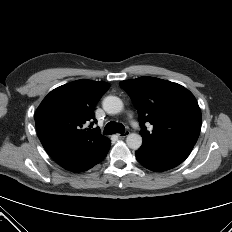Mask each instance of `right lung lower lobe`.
<instances>
[{
  "label": "right lung lower lobe",
  "mask_w": 232,
  "mask_h": 232,
  "mask_svg": "<svg viewBox=\"0 0 232 232\" xmlns=\"http://www.w3.org/2000/svg\"><path fill=\"white\" fill-rule=\"evenodd\" d=\"M108 150H106L105 152H103L99 155L93 156V157L69 161L67 163L62 164L61 166L64 169L69 170V171H73V172L86 171V170L92 168L94 165L101 162L104 159V157L106 156Z\"/></svg>",
  "instance_id": "obj_1"
}]
</instances>
